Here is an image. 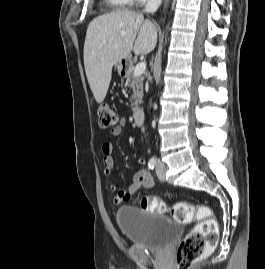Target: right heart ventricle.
<instances>
[{"label": "right heart ventricle", "instance_id": "1", "mask_svg": "<svg viewBox=\"0 0 265 269\" xmlns=\"http://www.w3.org/2000/svg\"><path fill=\"white\" fill-rule=\"evenodd\" d=\"M115 9H126L131 6L132 0H107Z\"/></svg>", "mask_w": 265, "mask_h": 269}]
</instances>
